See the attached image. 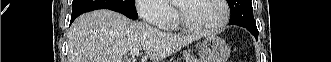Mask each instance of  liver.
<instances>
[{
	"label": "liver",
	"instance_id": "6515ba94",
	"mask_svg": "<svg viewBox=\"0 0 331 62\" xmlns=\"http://www.w3.org/2000/svg\"><path fill=\"white\" fill-rule=\"evenodd\" d=\"M199 38L166 33L102 9L83 14L73 22L68 62H124L123 57L132 48H143L152 62H161Z\"/></svg>",
	"mask_w": 331,
	"mask_h": 62
}]
</instances>
